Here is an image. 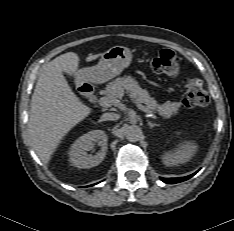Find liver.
<instances>
[{"label":"liver","instance_id":"liver-1","mask_svg":"<svg viewBox=\"0 0 234 231\" xmlns=\"http://www.w3.org/2000/svg\"><path fill=\"white\" fill-rule=\"evenodd\" d=\"M102 54L89 55L87 62ZM79 57L74 52L62 54L46 64L31 98L29 135L33 149L48 163L64 136L90 115L92 109L73 92L63 72L77 75Z\"/></svg>","mask_w":234,"mask_h":231}]
</instances>
